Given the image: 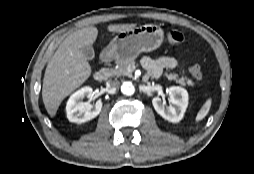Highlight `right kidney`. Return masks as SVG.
I'll return each mask as SVG.
<instances>
[{"mask_svg": "<svg viewBox=\"0 0 254 174\" xmlns=\"http://www.w3.org/2000/svg\"><path fill=\"white\" fill-rule=\"evenodd\" d=\"M92 92L93 89L86 86L70 96L66 105L67 118L70 122L84 123L99 115L102 109L101 101H97L94 106L89 102H82L83 98H90Z\"/></svg>", "mask_w": 254, "mask_h": 174, "instance_id": "right-kidney-1", "label": "right kidney"}]
</instances>
